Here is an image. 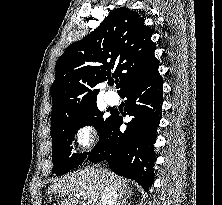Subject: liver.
<instances>
[{
	"instance_id": "1",
	"label": "liver",
	"mask_w": 222,
	"mask_h": 205,
	"mask_svg": "<svg viewBox=\"0 0 222 205\" xmlns=\"http://www.w3.org/2000/svg\"><path fill=\"white\" fill-rule=\"evenodd\" d=\"M107 184H112L120 195L131 194L126 181L116 174L100 169L85 168L78 172H73L61 180H57L48 189L51 193H59L64 198L60 205H78L80 197L84 199L83 204L100 205V199ZM81 194H84L81 196Z\"/></svg>"
}]
</instances>
